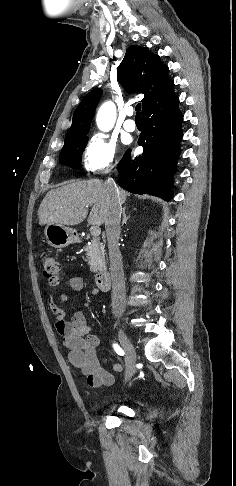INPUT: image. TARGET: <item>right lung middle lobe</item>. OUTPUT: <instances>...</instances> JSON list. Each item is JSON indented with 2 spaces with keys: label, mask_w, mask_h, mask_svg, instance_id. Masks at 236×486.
Listing matches in <instances>:
<instances>
[{
  "label": "right lung middle lobe",
  "mask_w": 236,
  "mask_h": 486,
  "mask_svg": "<svg viewBox=\"0 0 236 486\" xmlns=\"http://www.w3.org/2000/svg\"><path fill=\"white\" fill-rule=\"evenodd\" d=\"M87 141L88 137L84 136L74 142L64 144L60 153L61 164L68 165L74 169H79L81 167V156Z\"/></svg>",
  "instance_id": "right-lung-middle-lobe-1"
}]
</instances>
